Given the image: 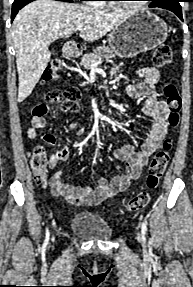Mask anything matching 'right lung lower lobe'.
Segmentation results:
<instances>
[{"label": "right lung lower lobe", "mask_w": 193, "mask_h": 287, "mask_svg": "<svg viewBox=\"0 0 193 287\" xmlns=\"http://www.w3.org/2000/svg\"><path fill=\"white\" fill-rule=\"evenodd\" d=\"M34 0H14V3L12 5V14H11V21H13L14 17L18 13V11L23 8L28 3L32 2ZM64 2H73V0H59Z\"/></svg>", "instance_id": "98d812e1"}]
</instances>
